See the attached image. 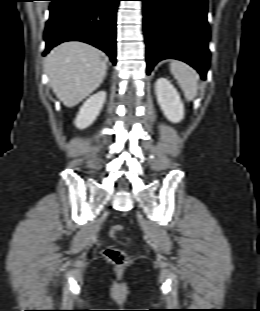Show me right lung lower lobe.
Segmentation results:
<instances>
[{"label":"right lung lower lobe","mask_w":260,"mask_h":311,"mask_svg":"<svg viewBox=\"0 0 260 311\" xmlns=\"http://www.w3.org/2000/svg\"><path fill=\"white\" fill-rule=\"evenodd\" d=\"M44 39L46 55L65 41L91 44L116 64V12L120 0H50Z\"/></svg>","instance_id":"right-lung-lower-lobe-1"}]
</instances>
